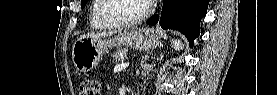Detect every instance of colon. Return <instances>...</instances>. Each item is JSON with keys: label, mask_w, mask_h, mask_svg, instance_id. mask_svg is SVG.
<instances>
[{"label": "colon", "mask_w": 277, "mask_h": 95, "mask_svg": "<svg viewBox=\"0 0 277 95\" xmlns=\"http://www.w3.org/2000/svg\"><path fill=\"white\" fill-rule=\"evenodd\" d=\"M80 94L81 95H98L99 94V84L97 81L84 78L80 82Z\"/></svg>", "instance_id": "1"}]
</instances>
